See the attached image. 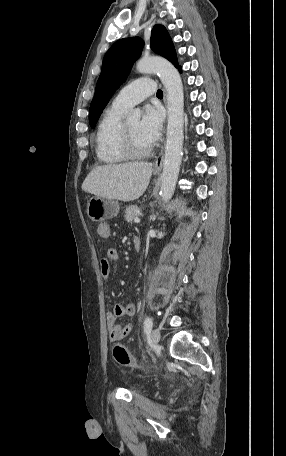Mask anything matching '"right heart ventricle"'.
Segmentation results:
<instances>
[{"label":"right heart ventricle","mask_w":286,"mask_h":456,"mask_svg":"<svg viewBox=\"0 0 286 456\" xmlns=\"http://www.w3.org/2000/svg\"><path fill=\"white\" fill-rule=\"evenodd\" d=\"M125 112L126 110L111 106L98 125L95 150L98 160L104 164H119L128 159L121 144L122 116Z\"/></svg>","instance_id":"e07e8e85"}]
</instances>
